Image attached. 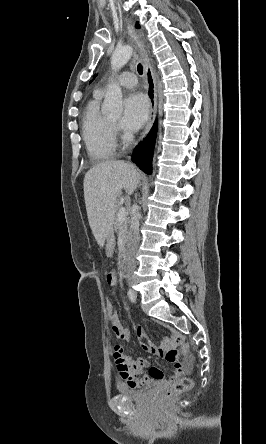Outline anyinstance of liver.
Listing matches in <instances>:
<instances>
[{
	"label": "liver",
	"instance_id": "obj_1",
	"mask_svg": "<svg viewBox=\"0 0 266 444\" xmlns=\"http://www.w3.org/2000/svg\"><path fill=\"white\" fill-rule=\"evenodd\" d=\"M139 181L140 173L135 166L121 160L99 163L85 174L83 187L88 221L101 247L112 230L118 194L124 189L131 195Z\"/></svg>",
	"mask_w": 266,
	"mask_h": 444
}]
</instances>
